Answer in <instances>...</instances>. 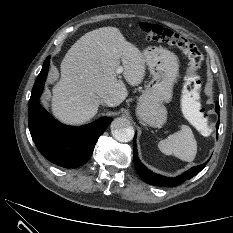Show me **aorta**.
Instances as JSON below:
<instances>
[{
	"label": "aorta",
	"mask_w": 233,
	"mask_h": 233,
	"mask_svg": "<svg viewBox=\"0 0 233 233\" xmlns=\"http://www.w3.org/2000/svg\"><path fill=\"white\" fill-rule=\"evenodd\" d=\"M111 132L114 139L119 142H129L134 137V129L129 120L123 117L115 118L111 123Z\"/></svg>",
	"instance_id": "762f6f07"
}]
</instances>
